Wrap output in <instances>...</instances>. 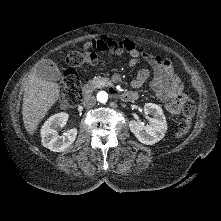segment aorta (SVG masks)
Returning a JSON list of instances; mask_svg holds the SVG:
<instances>
[{"label": "aorta", "instance_id": "762f6f07", "mask_svg": "<svg viewBox=\"0 0 221 221\" xmlns=\"http://www.w3.org/2000/svg\"><path fill=\"white\" fill-rule=\"evenodd\" d=\"M97 100H98L100 103H106L107 100H108V94H107L105 91H100V92H98V94H97Z\"/></svg>", "mask_w": 221, "mask_h": 221}]
</instances>
